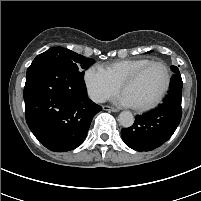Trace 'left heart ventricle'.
I'll return each mask as SVG.
<instances>
[{"label": "left heart ventricle", "mask_w": 201, "mask_h": 201, "mask_svg": "<svg viewBox=\"0 0 201 201\" xmlns=\"http://www.w3.org/2000/svg\"><path fill=\"white\" fill-rule=\"evenodd\" d=\"M166 80L165 71L160 65L147 68L123 93L133 105H144L152 102L161 92Z\"/></svg>", "instance_id": "left-heart-ventricle-1"}]
</instances>
